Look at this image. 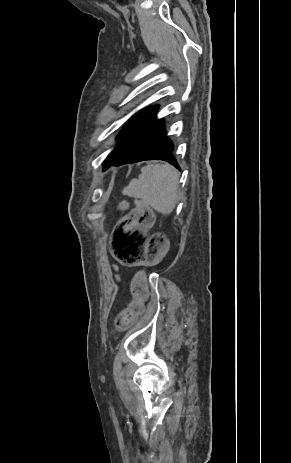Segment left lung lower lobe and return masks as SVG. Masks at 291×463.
<instances>
[{"mask_svg": "<svg viewBox=\"0 0 291 463\" xmlns=\"http://www.w3.org/2000/svg\"><path fill=\"white\" fill-rule=\"evenodd\" d=\"M174 145L165 134L161 122L143 140V142L121 158H112L103 163L106 170L111 165L120 166L126 163H136L144 160H164L180 169L173 155Z\"/></svg>", "mask_w": 291, "mask_h": 463, "instance_id": "left-lung-lower-lobe-1", "label": "left lung lower lobe"}]
</instances>
